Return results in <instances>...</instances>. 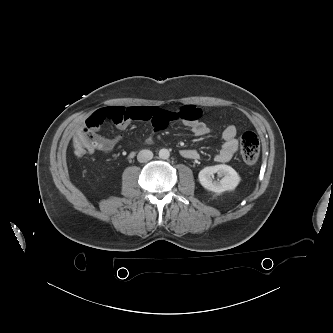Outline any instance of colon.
<instances>
[{
	"instance_id": "1",
	"label": "colon",
	"mask_w": 333,
	"mask_h": 333,
	"mask_svg": "<svg viewBox=\"0 0 333 333\" xmlns=\"http://www.w3.org/2000/svg\"><path fill=\"white\" fill-rule=\"evenodd\" d=\"M74 152L77 156H82L86 153L84 142L75 137L73 140ZM241 155L243 160L248 164H253L258 160L260 153V141L256 133L246 131L241 136Z\"/></svg>"
}]
</instances>
